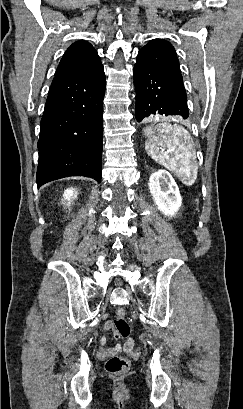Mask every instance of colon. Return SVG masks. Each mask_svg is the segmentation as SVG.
Here are the masks:
<instances>
[{"label": "colon", "mask_w": 243, "mask_h": 409, "mask_svg": "<svg viewBox=\"0 0 243 409\" xmlns=\"http://www.w3.org/2000/svg\"><path fill=\"white\" fill-rule=\"evenodd\" d=\"M113 330L117 338L124 340V344L132 347L130 338V326L126 320V312L123 307H117L113 320ZM130 367V360L125 356H112L106 362V370L112 374H122Z\"/></svg>", "instance_id": "colon-1"}]
</instances>
